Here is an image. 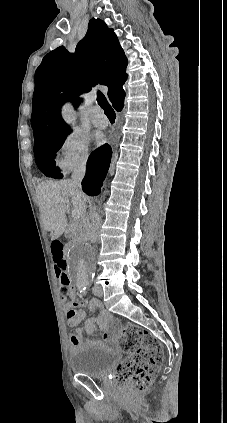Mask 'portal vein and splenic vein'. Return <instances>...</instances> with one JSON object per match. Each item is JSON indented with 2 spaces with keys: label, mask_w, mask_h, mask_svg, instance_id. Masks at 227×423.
Returning <instances> with one entry per match:
<instances>
[{
  "label": "portal vein and splenic vein",
  "mask_w": 227,
  "mask_h": 423,
  "mask_svg": "<svg viewBox=\"0 0 227 423\" xmlns=\"http://www.w3.org/2000/svg\"><path fill=\"white\" fill-rule=\"evenodd\" d=\"M72 217H74V219H78V217H80L79 211L74 210V213L72 214Z\"/></svg>",
  "instance_id": "1"
}]
</instances>
